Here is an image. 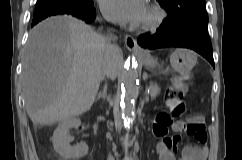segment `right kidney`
Masks as SVG:
<instances>
[{"label":"right kidney","instance_id":"right-kidney-1","mask_svg":"<svg viewBox=\"0 0 242 160\" xmlns=\"http://www.w3.org/2000/svg\"><path fill=\"white\" fill-rule=\"evenodd\" d=\"M81 124L80 119L71 118L62 121L53 133L52 141L55 151L65 160L79 159L87 155L88 145L80 143L71 146L73 138L69 135V129L78 128Z\"/></svg>","mask_w":242,"mask_h":160}]
</instances>
